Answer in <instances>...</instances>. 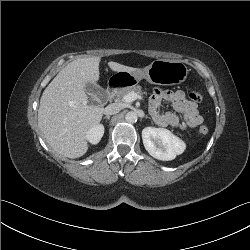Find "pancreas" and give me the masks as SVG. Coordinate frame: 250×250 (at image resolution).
<instances>
[{"instance_id": "obj_1", "label": "pancreas", "mask_w": 250, "mask_h": 250, "mask_svg": "<svg viewBox=\"0 0 250 250\" xmlns=\"http://www.w3.org/2000/svg\"><path fill=\"white\" fill-rule=\"evenodd\" d=\"M131 92H134V93H137V94H141L142 93V87L140 85H137V86H131V87H126V88H121V89H118L116 92H115V97H116V100L118 101H124V96L131 93Z\"/></svg>"}]
</instances>
